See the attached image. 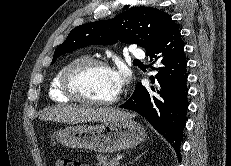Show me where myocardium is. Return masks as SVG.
Returning <instances> with one entry per match:
<instances>
[{"instance_id": "1", "label": "myocardium", "mask_w": 231, "mask_h": 166, "mask_svg": "<svg viewBox=\"0 0 231 166\" xmlns=\"http://www.w3.org/2000/svg\"><path fill=\"white\" fill-rule=\"evenodd\" d=\"M90 67H101L107 70L112 71V67L108 62L97 59V58H84L72 63L63 73L61 78V89L62 92L72 100L95 106H112L120 100V94L118 93L114 98L110 100H97L89 98L83 95L76 88L74 81L76 76L83 70Z\"/></svg>"}]
</instances>
